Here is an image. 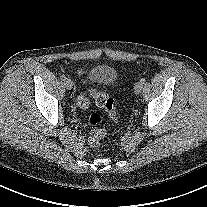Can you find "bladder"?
<instances>
[{"mask_svg":"<svg viewBox=\"0 0 207 207\" xmlns=\"http://www.w3.org/2000/svg\"><path fill=\"white\" fill-rule=\"evenodd\" d=\"M116 79L117 72L109 65H97L89 73V82L93 85H112Z\"/></svg>","mask_w":207,"mask_h":207,"instance_id":"obj_1","label":"bladder"}]
</instances>
